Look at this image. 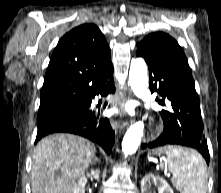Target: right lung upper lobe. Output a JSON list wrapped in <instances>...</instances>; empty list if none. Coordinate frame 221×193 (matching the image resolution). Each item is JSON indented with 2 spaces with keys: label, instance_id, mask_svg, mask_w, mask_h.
Wrapping results in <instances>:
<instances>
[{
  "label": "right lung upper lobe",
  "instance_id": "cb5924a9",
  "mask_svg": "<svg viewBox=\"0 0 221 193\" xmlns=\"http://www.w3.org/2000/svg\"><path fill=\"white\" fill-rule=\"evenodd\" d=\"M113 68L110 48L94 24H83L65 34L48 65L41 102L85 99L101 75Z\"/></svg>",
  "mask_w": 221,
  "mask_h": 193
}]
</instances>
